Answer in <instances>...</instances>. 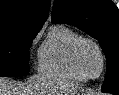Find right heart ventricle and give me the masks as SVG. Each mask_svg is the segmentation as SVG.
<instances>
[{
  "mask_svg": "<svg viewBox=\"0 0 119 95\" xmlns=\"http://www.w3.org/2000/svg\"><path fill=\"white\" fill-rule=\"evenodd\" d=\"M80 35L64 24L52 25L38 53V72L44 76L82 82L72 69L69 54Z\"/></svg>",
  "mask_w": 119,
  "mask_h": 95,
  "instance_id": "1",
  "label": "right heart ventricle"
}]
</instances>
